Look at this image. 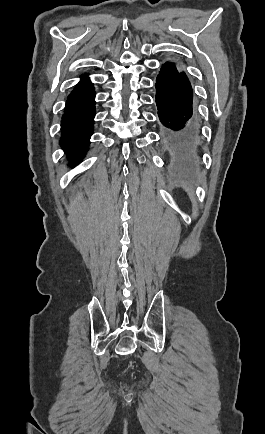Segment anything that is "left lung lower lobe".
<instances>
[{
    "instance_id": "obj_1",
    "label": "left lung lower lobe",
    "mask_w": 265,
    "mask_h": 434,
    "mask_svg": "<svg viewBox=\"0 0 265 434\" xmlns=\"http://www.w3.org/2000/svg\"><path fill=\"white\" fill-rule=\"evenodd\" d=\"M156 105L162 126L163 147L177 154H194L201 144V129L193 110V90L175 62L162 65L156 79Z\"/></svg>"
}]
</instances>
